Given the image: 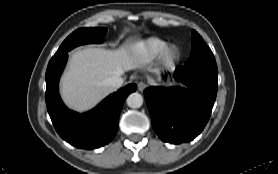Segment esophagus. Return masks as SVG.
<instances>
[{
  "instance_id": "esophagus-1",
  "label": "esophagus",
  "mask_w": 278,
  "mask_h": 174,
  "mask_svg": "<svg viewBox=\"0 0 278 174\" xmlns=\"http://www.w3.org/2000/svg\"><path fill=\"white\" fill-rule=\"evenodd\" d=\"M146 83L143 82V81H140L138 84H137V89L142 92L145 88H146Z\"/></svg>"
}]
</instances>
